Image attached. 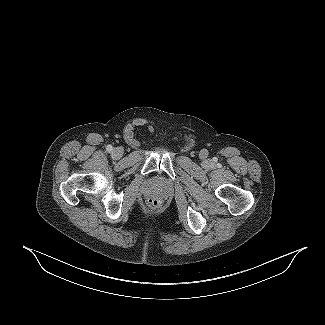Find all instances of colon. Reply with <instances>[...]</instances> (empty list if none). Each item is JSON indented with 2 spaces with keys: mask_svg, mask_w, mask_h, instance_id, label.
<instances>
[{
  "mask_svg": "<svg viewBox=\"0 0 325 325\" xmlns=\"http://www.w3.org/2000/svg\"><path fill=\"white\" fill-rule=\"evenodd\" d=\"M147 204H148L149 207L155 209V208H158L160 206V201L157 198H150L147 201Z\"/></svg>",
  "mask_w": 325,
  "mask_h": 325,
  "instance_id": "obj_1",
  "label": "colon"
}]
</instances>
